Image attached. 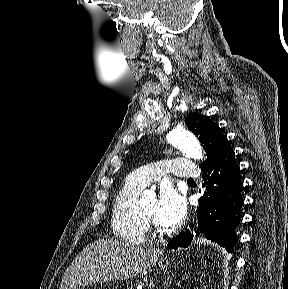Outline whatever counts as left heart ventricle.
Wrapping results in <instances>:
<instances>
[{
    "label": "left heart ventricle",
    "mask_w": 288,
    "mask_h": 289,
    "mask_svg": "<svg viewBox=\"0 0 288 289\" xmlns=\"http://www.w3.org/2000/svg\"><path fill=\"white\" fill-rule=\"evenodd\" d=\"M156 208H157V202L155 200L141 207L142 211L151 219L155 218Z\"/></svg>",
    "instance_id": "obj_1"
}]
</instances>
